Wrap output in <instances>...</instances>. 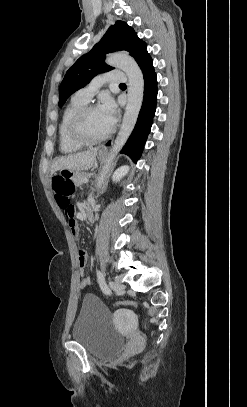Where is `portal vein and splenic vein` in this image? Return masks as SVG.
<instances>
[{
    "instance_id": "obj_1",
    "label": "portal vein and splenic vein",
    "mask_w": 247,
    "mask_h": 407,
    "mask_svg": "<svg viewBox=\"0 0 247 407\" xmlns=\"http://www.w3.org/2000/svg\"><path fill=\"white\" fill-rule=\"evenodd\" d=\"M84 182L87 183V182H88V179H85Z\"/></svg>"
}]
</instances>
